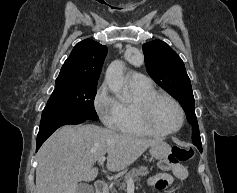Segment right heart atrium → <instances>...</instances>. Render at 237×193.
Returning a JSON list of instances; mask_svg holds the SVG:
<instances>
[{"label":"right heart atrium","instance_id":"obj_1","mask_svg":"<svg viewBox=\"0 0 237 193\" xmlns=\"http://www.w3.org/2000/svg\"><path fill=\"white\" fill-rule=\"evenodd\" d=\"M94 108L100 120L109 128L118 130L121 119V103L103 83L94 96Z\"/></svg>","mask_w":237,"mask_h":193}]
</instances>
